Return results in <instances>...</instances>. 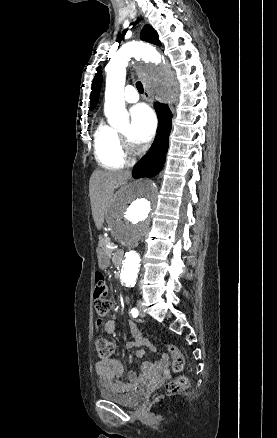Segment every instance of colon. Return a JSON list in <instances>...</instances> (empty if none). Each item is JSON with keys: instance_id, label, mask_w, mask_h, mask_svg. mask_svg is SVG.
<instances>
[{"instance_id": "colon-1", "label": "colon", "mask_w": 277, "mask_h": 438, "mask_svg": "<svg viewBox=\"0 0 277 438\" xmlns=\"http://www.w3.org/2000/svg\"><path fill=\"white\" fill-rule=\"evenodd\" d=\"M95 293H94V308L96 314L100 318H104L111 308V302L107 299L108 287L106 283L105 275L102 272L95 273ZM94 344L98 356L101 360H105L111 356L115 351V343L109 337L105 335H97L94 339ZM169 351L173 355V370L179 372L184 366L183 354L173 348ZM189 385V379L187 377H179L173 380H167L166 389H162L161 392L156 390L154 395L162 398H175L176 392L182 391Z\"/></svg>"}]
</instances>
